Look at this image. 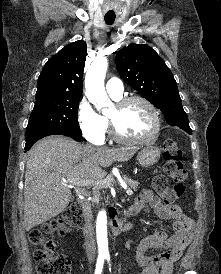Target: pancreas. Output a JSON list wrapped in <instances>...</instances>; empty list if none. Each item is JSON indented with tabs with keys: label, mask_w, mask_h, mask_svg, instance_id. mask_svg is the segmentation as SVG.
Returning a JSON list of instances; mask_svg holds the SVG:
<instances>
[{
	"label": "pancreas",
	"mask_w": 221,
	"mask_h": 274,
	"mask_svg": "<svg viewBox=\"0 0 221 274\" xmlns=\"http://www.w3.org/2000/svg\"><path fill=\"white\" fill-rule=\"evenodd\" d=\"M124 181L133 189V191H137L138 190V188H139V185H138V182L137 181H134V180H132V179H129L128 177H126V176H124ZM100 193H99V191L98 190H95L94 192H93V197H92V199H91V202L92 203H98L99 202V200H100Z\"/></svg>",
	"instance_id": "cf45deb5"
}]
</instances>
